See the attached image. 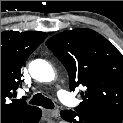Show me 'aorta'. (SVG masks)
<instances>
[{"label": "aorta", "instance_id": "obj_1", "mask_svg": "<svg viewBox=\"0 0 123 123\" xmlns=\"http://www.w3.org/2000/svg\"><path fill=\"white\" fill-rule=\"evenodd\" d=\"M29 73L32 78L40 82H50L54 79L52 66L43 59H36L29 63Z\"/></svg>", "mask_w": 123, "mask_h": 123}]
</instances>
